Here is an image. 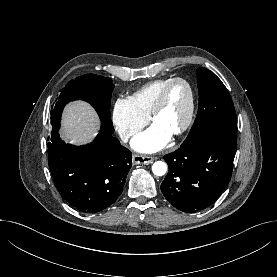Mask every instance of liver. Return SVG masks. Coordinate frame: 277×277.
<instances>
[{
	"mask_svg": "<svg viewBox=\"0 0 277 277\" xmlns=\"http://www.w3.org/2000/svg\"><path fill=\"white\" fill-rule=\"evenodd\" d=\"M100 121L94 108L85 101L69 103L63 113V139L72 144L90 142L98 133Z\"/></svg>",
	"mask_w": 277,
	"mask_h": 277,
	"instance_id": "1",
	"label": "liver"
}]
</instances>
